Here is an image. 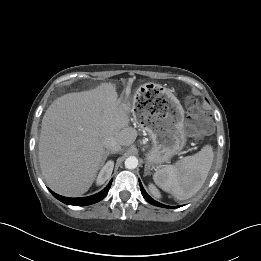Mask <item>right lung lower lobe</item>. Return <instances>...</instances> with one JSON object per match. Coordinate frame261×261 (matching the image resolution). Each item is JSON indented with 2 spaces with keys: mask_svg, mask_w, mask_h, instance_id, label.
<instances>
[{
  "mask_svg": "<svg viewBox=\"0 0 261 261\" xmlns=\"http://www.w3.org/2000/svg\"><path fill=\"white\" fill-rule=\"evenodd\" d=\"M111 183H112V181H110V183L106 186V188L104 190H102L101 192H99L95 195L83 197V198H67V197H63V196H60V195L54 193L50 189L49 190L54 197H56L58 200H60L61 202L65 203V204L84 206V205H90V204H93V203H96V202H99L100 200H102L107 195V193L110 189Z\"/></svg>",
  "mask_w": 261,
  "mask_h": 261,
  "instance_id": "right-lung-lower-lobe-1",
  "label": "right lung lower lobe"
}]
</instances>
